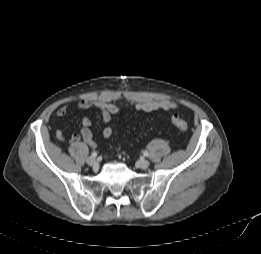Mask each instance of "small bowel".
Instances as JSON below:
<instances>
[{"mask_svg":"<svg viewBox=\"0 0 261 254\" xmlns=\"http://www.w3.org/2000/svg\"><path fill=\"white\" fill-rule=\"evenodd\" d=\"M77 109L79 110H87L92 107L98 108L103 117V121L105 123L103 129V136L106 139H111L118 134V131L114 128L112 124L113 117L119 112V108L116 104L111 102H106L102 100H90V99H82L77 105ZM179 107V104L173 100L163 99L156 101H142L134 104L133 109L137 112H154V111H169L175 110ZM68 112V106L62 105L56 110V115L58 117H64ZM91 119L87 116H84L81 120V130L79 134H72L69 137V141L71 143H76L82 140L85 144L89 145L92 148L97 146L93 134L91 132ZM57 137L63 139L65 137V133L63 130L57 131Z\"/></svg>","mask_w":261,"mask_h":254,"instance_id":"small-bowel-1","label":"small bowel"}]
</instances>
